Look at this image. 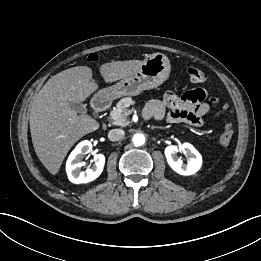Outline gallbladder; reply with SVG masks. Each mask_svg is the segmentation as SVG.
I'll return each instance as SVG.
<instances>
[{"mask_svg": "<svg viewBox=\"0 0 261 261\" xmlns=\"http://www.w3.org/2000/svg\"><path fill=\"white\" fill-rule=\"evenodd\" d=\"M70 107L78 113H85L87 111L86 106L79 102H70Z\"/></svg>", "mask_w": 261, "mask_h": 261, "instance_id": "1", "label": "gallbladder"}]
</instances>
